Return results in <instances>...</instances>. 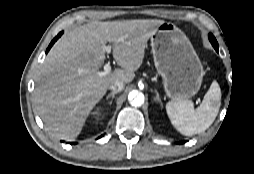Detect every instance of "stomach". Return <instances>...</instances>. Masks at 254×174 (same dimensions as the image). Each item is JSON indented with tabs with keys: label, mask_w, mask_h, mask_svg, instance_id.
<instances>
[{
	"label": "stomach",
	"mask_w": 254,
	"mask_h": 174,
	"mask_svg": "<svg viewBox=\"0 0 254 174\" xmlns=\"http://www.w3.org/2000/svg\"><path fill=\"white\" fill-rule=\"evenodd\" d=\"M155 67L166 94L174 101L188 100L199 91L204 71L187 36L171 22H163L152 36Z\"/></svg>",
	"instance_id": "0dacf381"
}]
</instances>
